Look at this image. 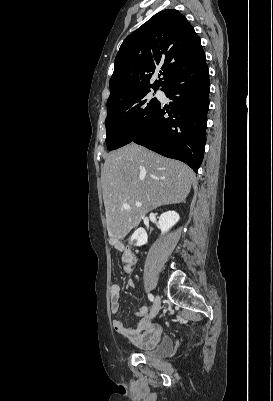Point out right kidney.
<instances>
[{
  "label": "right kidney",
  "instance_id": "obj_1",
  "mask_svg": "<svg viewBox=\"0 0 273 401\" xmlns=\"http://www.w3.org/2000/svg\"><path fill=\"white\" fill-rule=\"evenodd\" d=\"M179 219L180 217L178 213H175V211H167V213H162L158 221V225L161 229L162 235H164V233H168L169 229H171L173 225H176ZM131 239L134 245H136V247H141V245H146L147 233L145 229H137V231L133 233Z\"/></svg>",
  "mask_w": 273,
  "mask_h": 401
}]
</instances>
